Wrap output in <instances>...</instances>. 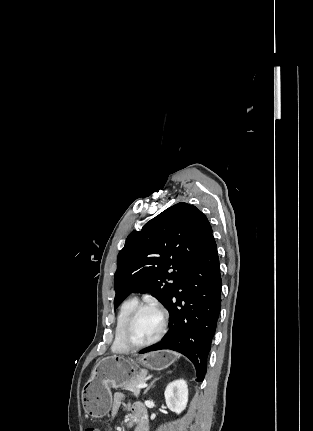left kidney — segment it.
<instances>
[{"instance_id": "5707ae66", "label": "left kidney", "mask_w": 313, "mask_h": 431, "mask_svg": "<svg viewBox=\"0 0 313 431\" xmlns=\"http://www.w3.org/2000/svg\"><path fill=\"white\" fill-rule=\"evenodd\" d=\"M167 407L180 414L188 403V386L185 380L179 379L171 382L164 392Z\"/></svg>"}]
</instances>
